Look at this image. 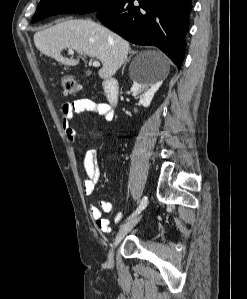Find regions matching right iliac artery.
<instances>
[{"label":"right iliac artery","instance_id":"1","mask_svg":"<svg viewBox=\"0 0 247 299\" xmlns=\"http://www.w3.org/2000/svg\"><path fill=\"white\" fill-rule=\"evenodd\" d=\"M146 206H147V197L144 196L142 198V200H141L140 205L138 206V208L136 209V211L128 218V220L131 219V218H133L137 214H139L142 210L145 209Z\"/></svg>","mask_w":247,"mask_h":299}]
</instances>
